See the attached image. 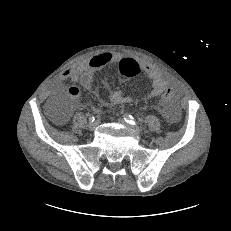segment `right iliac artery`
Masks as SVG:
<instances>
[{
    "instance_id": "right-iliac-artery-1",
    "label": "right iliac artery",
    "mask_w": 231,
    "mask_h": 231,
    "mask_svg": "<svg viewBox=\"0 0 231 231\" xmlns=\"http://www.w3.org/2000/svg\"><path fill=\"white\" fill-rule=\"evenodd\" d=\"M94 120H95V117H94V116L89 117V121H90V122H94Z\"/></svg>"
}]
</instances>
